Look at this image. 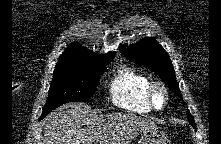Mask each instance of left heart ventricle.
<instances>
[{"label":"left heart ventricle","instance_id":"1","mask_svg":"<svg viewBox=\"0 0 221 144\" xmlns=\"http://www.w3.org/2000/svg\"><path fill=\"white\" fill-rule=\"evenodd\" d=\"M156 102H157L158 106H161L163 104V96L161 93H157Z\"/></svg>","mask_w":221,"mask_h":144}]
</instances>
